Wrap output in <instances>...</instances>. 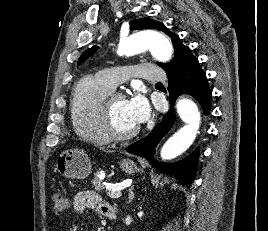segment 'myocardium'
I'll return each mask as SVG.
<instances>
[{
    "mask_svg": "<svg viewBox=\"0 0 268 231\" xmlns=\"http://www.w3.org/2000/svg\"><path fill=\"white\" fill-rule=\"evenodd\" d=\"M125 99V96L119 91H112L102 102L101 118L105 133L113 140H126L136 136L140 128L136 127L130 131H121L117 128L114 117L113 107L116 101Z\"/></svg>",
    "mask_w": 268,
    "mask_h": 231,
    "instance_id": "f54148a6",
    "label": "myocardium"
}]
</instances>
